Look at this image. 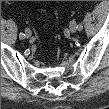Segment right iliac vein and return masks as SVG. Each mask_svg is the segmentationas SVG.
I'll use <instances>...</instances> for the list:
<instances>
[{
	"instance_id": "1",
	"label": "right iliac vein",
	"mask_w": 109,
	"mask_h": 109,
	"mask_svg": "<svg viewBox=\"0 0 109 109\" xmlns=\"http://www.w3.org/2000/svg\"><path fill=\"white\" fill-rule=\"evenodd\" d=\"M31 37V31L29 29L25 30V38H30Z\"/></svg>"
}]
</instances>
